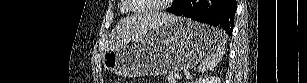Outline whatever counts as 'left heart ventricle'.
<instances>
[{"label": "left heart ventricle", "mask_w": 307, "mask_h": 83, "mask_svg": "<svg viewBox=\"0 0 307 83\" xmlns=\"http://www.w3.org/2000/svg\"><path fill=\"white\" fill-rule=\"evenodd\" d=\"M162 0H142V1H136L138 3L139 7L145 8L152 5H157L156 3H161Z\"/></svg>", "instance_id": "obj_1"}]
</instances>
